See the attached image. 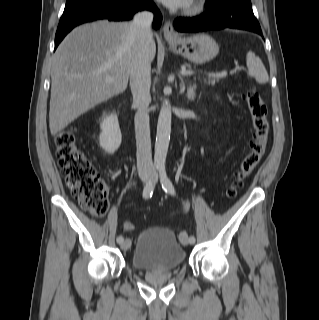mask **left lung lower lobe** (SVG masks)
I'll use <instances>...</instances> for the list:
<instances>
[{"label":"left lung lower lobe","mask_w":319,"mask_h":320,"mask_svg":"<svg viewBox=\"0 0 319 320\" xmlns=\"http://www.w3.org/2000/svg\"><path fill=\"white\" fill-rule=\"evenodd\" d=\"M180 32H199L235 28L262 35L250 0H207V11L194 18H178L174 21Z\"/></svg>","instance_id":"0a47b994"}]
</instances>
